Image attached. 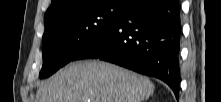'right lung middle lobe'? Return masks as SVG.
Listing matches in <instances>:
<instances>
[{"mask_svg": "<svg viewBox=\"0 0 221 102\" xmlns=\"http://www.w3.org/2000/svg\"><path fill=\"white\" fill-rule=\"evenodd\" d=\"M130 0H84L45 20L43 66L49 77L111 28L129 9Z\"/></svg>", "mask_w": 221, "mask_h": 102, "instance_id": "obj_1", "label": "right lung middle lobe"}]
</instances>
